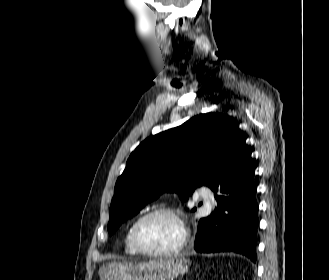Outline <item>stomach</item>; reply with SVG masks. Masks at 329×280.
<instances>
[{
    "label": "stomach",
    "mask_w": 329,
    "mask_h": 280,
    "mask_svg": "<svg viewBox=\"0 0 329 280\" xmlns=\"http://www.w3.org/2000/svg\"><path fill=\"white\" fill-rule=\"evenodd\" d=\"M190 261L170 258L146 262L115 261L99 269L100 280H173L188 271Z\"/></svg>",
    "instance_id": "obj_1"
}]
</instances>
